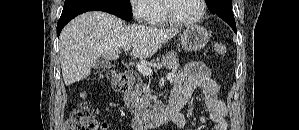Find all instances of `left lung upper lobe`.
<instances>
[{
	"mask_svg": "<svg viewBox=\"0 0 299 130\" xmlns=\"http://www.w3.org/2000/svg\"><path fill=\"white\" fill-rule=\"evenodd\" d=\"M215 0H206L207 6L211 5ZM231 3V0H228Z\"/></svg>",
	"mask_w": 299,
	"mask_h": 130,
	"instance_id": "1",
	"label": "left lung upper lobe"
}]
</instances>
